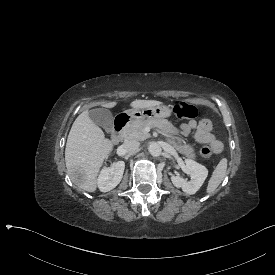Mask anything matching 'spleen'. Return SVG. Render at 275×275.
<instances>
[{"instance_id":"obj_1","label":"spleen","mask_w":275,"mask_h":275,"mask_svg":"<svg viewBox=\"0 0 275 275\" xmlns=\"http://www.w3.org/2000/svg\"><path fill=\"white\" fill-rule=\"evenodd\" d=\"M227 158H222L207 183L206 186V194L211 195L214 191L219 187L221 182L224 180L227 171Z\"/></svg>"}]
</instances>
